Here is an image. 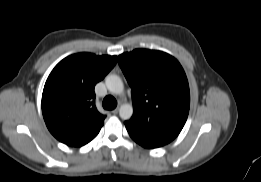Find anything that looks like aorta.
Wrapping results in <instances>:
<instances>
[{"label": "aorta", "instance_id": "aorta-1", "mask_svg": "<svg viewBox=\"0 0 261 182\" xmlns=\"http://www.w3.org/2000/svg\"><path fill=\"white\" fill-rule=\"evenodd\" d=\"M105 84L112 94L121 95L124 91L123 82L117 75H108L105 79ZM119 115L124 120L130 119L133 115V107L127 103L122 104L119 108Z\"/></svg>", "mask_w": 261, "mask_h": 182}]
</instances>
